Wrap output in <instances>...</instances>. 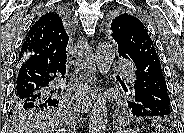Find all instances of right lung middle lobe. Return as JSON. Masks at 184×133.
I'll return each mask as SVG.
<instances>
[{
  "instance_id": "1",
  "label": "right lung middle lobe",
  "mask_w": 184,
  "mask_h": 133,
  "mask_svg": "<svg viewBox=\"0 0 184 133\" xmlns=\"http://www.w3.org/2000/svg\"><path fill=\"white\" fill-rule=\"evenodd\" d=\"M62 105L61 102H57L55 104L49 105V106H32L28 104H17L14 102L12 103V110L14 111V114L16 115H25V114H30L32 112H35L38 109H47L51 112H57L58 108Z\"/></svg>"
}]
</instances>
